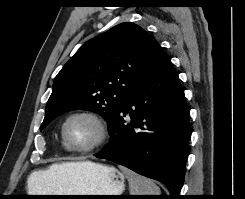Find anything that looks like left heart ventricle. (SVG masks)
<instances>
[{
    "label": "left heart ventricle",
    "instance_id": "1",
    "mask_svg": "<svg viewBox=\"0 0 245 199\" xmlns=\"http://www.w3.org/2000/svg\"><path fill=\"white\" fill-rule=\"evenodd\" d=\"M67 136L74 146L86 147L95 142L98 136V129L91 120L77 117L69 122Z\"/></svg>",
    "mask_w": 245,
    "mask_h": 199
}]
</instances>
